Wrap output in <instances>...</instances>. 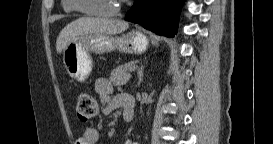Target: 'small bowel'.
<instances>
[{"label": "small bowel", "mask_w": 273, "mask_h": 144, "mask_svg": "<svg viewBox=\"0 0 273 144\" xmlns=\"http://www.w3.org/2000/svg\"><path fill=\"white\" fill-rule=\"evenodd\" d=\"M95 91L100 99L105 103L104 113L110 114L119 109L118 96H113V86L107 78H99L95 83ZM99 139V133L95 128L87 127L83 134L78 137L75 144H96ZM126 144H132L130 140L125 141Z\"/></svg>", "instance_id": "1"}]
</instances>
